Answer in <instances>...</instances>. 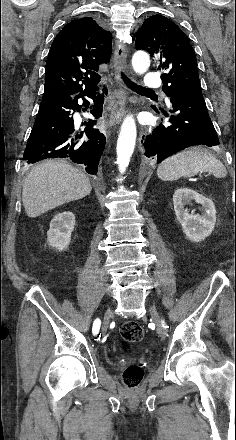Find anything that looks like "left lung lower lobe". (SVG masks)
Segmentation results:
<instances>
[{
	"mask_svg": "<svg viewBox=\"0 0 236 440\" xmlns=\"http://www.w3.org/2000/svg\"><path fill=\"white\" fill-rule=\"evenodd\" d=\"M172 104L170 125L160 123L141 143L144 155L160 163L165 158L190 146L219 144L217 132L209 117L200 86H189L170 96ZM152 108L165 116L161 108Z\"/></svg>",
	"mask_w": 236,
	"mask_h": 440,
	"instance_id": "0a47b994",
	"label": "left lung lower lobe"
}]
</instances>
